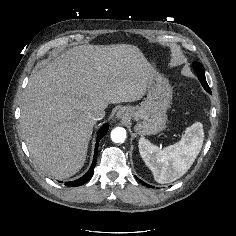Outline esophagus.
<instances>
[{
    "label": "esophagus",
    "mask_w": 236,
    "mask_h": 236,
    "mask_svg": "<svg viewBox=\"0 0 236 236\" xmlns=\"http://www.w3.org/2000/svg\"><path fill=\"white\" fill-rule=\"evenodd\" d=\"M116 117L118 119H127L129 117V111L127 109H120L117 114Z\"/></svg>",
    "instance_id": "34e87169"
}]
</instances>
